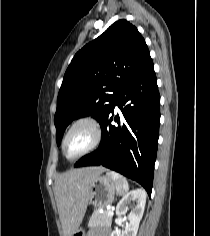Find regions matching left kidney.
Returning a JSON list of instances; mask_svg holds the SVG:
<instances>
[{"mask_svg":"<svg viewBox=\"0 0 210 236\" xmlns=\"http://www.w3.org/2000/svg\"><path fill=\"white\" fill-rule=\"evenodd\" d=\"M146 192L143 189H135L127 193L117 204L116 215L121 220V217L128 211V205L132 201H137L138 205L128 214L129 224L124 231H120L115 228L111 233V236H136L139 228L140 221L142 219L145 204H146Z\"/></svg>","mask_w":210,"mask_h":236,"instance_id":"left-kidney-1","label":"left kidney"}]
</instances>
